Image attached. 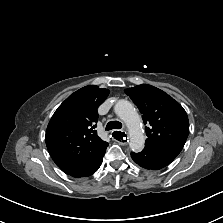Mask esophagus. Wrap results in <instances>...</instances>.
I'll return each instance as SVG.
<instances>
[{
  "instance_id": "esophagus-1",
  "label": "esophagus",
  "mask_w": 223,
  "mask_h": 223,
  "mask_svg": "<svg viewBox=\"0 0 223 223\" xmlns=\"http://www.w3.org/2000/svg\"><path fill=\"white\" fill-rule=\"evenodd\" d=\"M111 137L114 141L122 144V145H127L128 144V134L126 131L120 132L119 130H113L111 132Z\"/></svg>"
}]
</instances>
